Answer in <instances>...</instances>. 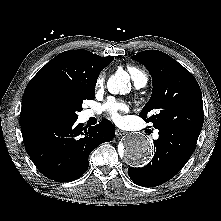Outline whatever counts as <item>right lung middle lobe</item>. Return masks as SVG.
Segmentation results:
<instances>
[{
	"mask_svg": "<svg viewBox=\"0 0 221 221\" xmlns=\"http://www.w3.org/2000/svg\"><path fill=\"white\" fill-rule=\"evenodd\" d=\"M94 97L95 88L67 95H49L35 105L34 114L38 119L76 120L77 112L82 110L83 100H92Z\"/></svg>",
	"mask_w": 221,
	"mask_h": 221,
	"instance_id": "right-lung-middle-lobe-1",
	"label": "right lung middle lobe"
}]
</instances>
